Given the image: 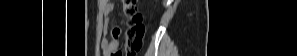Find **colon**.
I'll return each instance as SVG.
<instances>
[{
  "label": "colon",
  "instance_id": "1",
  "mask_svg": "<svg viewBox=\"0 0 297 56\" xmlns=\"http://www.w3.org/2000/svg\"><path fill=\"white\" fill-rule=\"evenodd\" d=\"M123 13L127 18L125 55L136 56L142 49L145 32L142 16L138 12L137 1L124 0ZM114 56H122V53L116 52Z\"/></svg>",
  "mask_w": 297,
  "mask_h": 56
}]
</instances>
